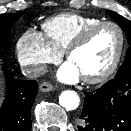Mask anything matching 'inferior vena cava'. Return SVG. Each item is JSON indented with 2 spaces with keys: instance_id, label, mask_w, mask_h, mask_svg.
<instances>
[{
  "instance_id": "602c4592",
  "label": "inferior vena cava",
  "mask_w": 131,
  "mask_h": 131,
  "mask_svg": "<svg viewBox=\"0 0 131 131\" xmlns=\"http://www.w3.org/2000/svg\"><path fill=\"white\" fill-rule=\"evenodd\" d=\"M45 72H46L45 66L29 65L22 68L23 75L29 78L40 77L41 75L45 74Z\"/></svg>"
}]
</instances>
